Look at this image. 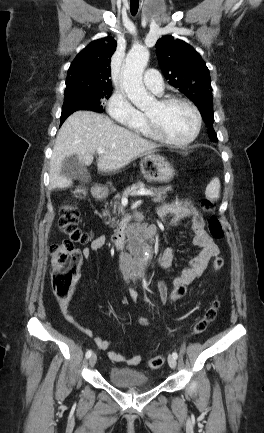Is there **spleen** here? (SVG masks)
<instances>
[{"instance_id":"spleen-1","label":"spleen","mask_w":264,"mask_h":433,"mask_svg":"<svg viewBox=\"0 0 264 433\" xmlns=\"http://www.w3.org/2000/svg\"><path fill=\"white\" fill-rule=\"evenodd\" d=\"M206 196L211 200H216L220 196V180L214 178L206 187Z\"/></svg>"}]
</instances>
